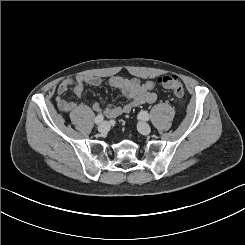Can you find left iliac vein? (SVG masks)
<instances>
[{
    "label": "left iliac vein",
    "mask_w": 245,
    "mask_h": 245,
    "mask_svg": "<svg viewBox=\"0 0 245 245\" xmlns=\"http://www.w3.org/2000/svg\"><path fill=\"white\" fill-rule=\"evenodd\" d=\"M139 130L142 134L148 135L150 133V126L146 122H140Z\"/></svg>",
    "instance_id": "1"
}]
</instances>
